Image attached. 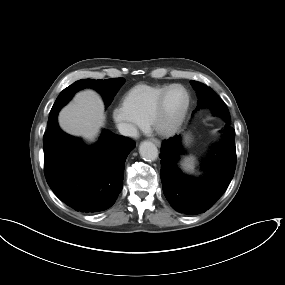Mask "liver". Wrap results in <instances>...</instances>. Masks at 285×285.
Returning a JSON list of instances; mask_svg holds the SVG:
<instances>
[{
  "instance_id": "liver-1",
  "label": "liver",
  "mask_w": 285,
  "mask_h": 285,
  "mask_svg": "<svg viewBox=\"0 0 285 285\" xmlns=\"http://www.w3.org/2000/svg\"><path fill=\"white\" fill-rule=\"evenodd\" d=\"M58 122L65 132L94 141L105 122L104 103L95 91H81L60 111Z\"/></svg>"
}]
</instances>
